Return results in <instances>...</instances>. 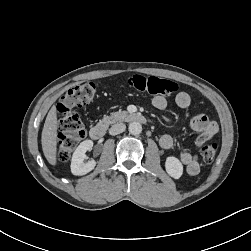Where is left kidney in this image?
Instances as JSON below:
<instances>
[{"label": "left kidney", "mask_w": 251, "mask_h": 251, "mask_svg": "<svg viewBox=\"0 0 251 251\" xmlns=\"http://www.w3.org/2000/svg\"><path fill=\"white\" fill-rule=\"evenodd\" d=\"M165 168L167 173L174 179H179L183 174V165L176 157H167L165 162Z\"/></svg>", "instance_id": "5707ae66"}]
</instances>
